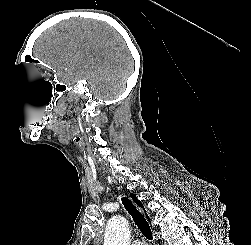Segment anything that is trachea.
<instances>
[{
    "label": "trachea",
    "mask_w": 251,
    "mask_h": 245,
    "mask_svg": "<svg viewBox=\"0 0 251 245\" xmlns=\"http://www.w3.org/2000/svg\"><path fill=\"white\" fill-rule=\"evenodd\" d=\"M122 203L128 213L132 216L135 224L142 234L149 240L153 239L151 228L145 217L137 210L135 205L126 197L122 198Z\"/></svg>",
    "instance_id": "3493384b"
}]
</instances>
